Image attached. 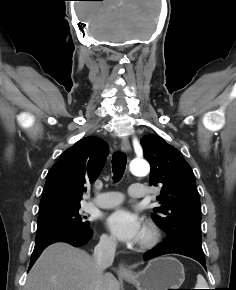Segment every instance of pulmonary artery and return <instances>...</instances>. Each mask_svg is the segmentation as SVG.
<instances>
[{"label":"pulmonary artery","mask_w":236,"mask_h":290,"mask_svg":"<svg viewBox=\"0 0 236 290\" xmlns=\"http://www.w3.org/2000/svg\"><path fill=\"white\" fill-rule=\"evenodd\" d=\"M129 196L135 199H144L147 196V190L141 185H131L128 188ZM123 201V195L119 192H104L98 194L92 199V204L99 208H111L119 205Z\"/></svg>","instance_id":"e3ab8cb5"}]
</instances>
